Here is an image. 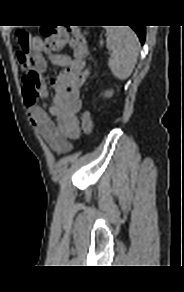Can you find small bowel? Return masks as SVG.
I'll return each mask as SVG.
<instances>
[{"instance_id":"1","label":"small bowel","mask_w":184,"mask_h":292,"mask_svg":"<svg viewBox=\"0 0 184 292\" xmlns=\"http://www.w3.org/2000/svg\"><path fill=\"white\" fill-rule=\"evenodd\" d=\"M17 57L25 73L22 94L31 123L53 150L70 151L72 141L79 136V91L90 72L86 62L66 54L45 52L43 42L38 37H30L29 47L26 50L20 48ZM47 61L63 70L50 80L55 90L52 101L39 105L38 99L50 98L48 85L43 77Z\"/></svg>"}]
</instances>
